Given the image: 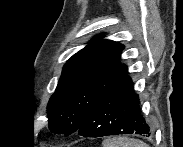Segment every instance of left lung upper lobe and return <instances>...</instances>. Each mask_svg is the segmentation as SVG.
Wrapping results in <instances>:
<instances>
[{"instance_id": "obj_1", "label": "left lung upper lobe", "mask_w": 183, "mask_h": 147, "mask_svg": "<svg viewBox=\"0 0 183 147\" xmlns=\"http://www.w3.org/2000/svg\"><path fill=\"white\" fill-rule=\"evenodd\" d=\"M97 36L64 65L57 88L48 102V128L56 134L76 132L98 100L125 77L119 63L120 43Z\"/></svg>"}]
</instances>
